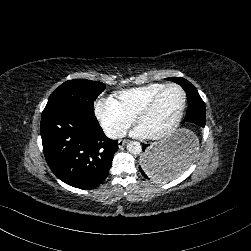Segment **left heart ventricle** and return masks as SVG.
Returning a JSON list of instances; mask_svg holds the SVG:
<instances>
[{
	"mask_svg": "<svg viewBox=\"0 0 251 251\" xmlns=\"http://www.w3.org/2000/svg\"><path fill=\"white\" fill-rule=\"evenodd\" d=\"M183 104V93L178 89L170 88L162 94L152 110L139 115V121L155 134L178 119Z\"/></svg>",
	"mask_w": 251,
	"mask_h": 251,
	"instance_id": "left-heart-ventricle-1",
	"label": "left heart ventricle"
}]
</instances>
